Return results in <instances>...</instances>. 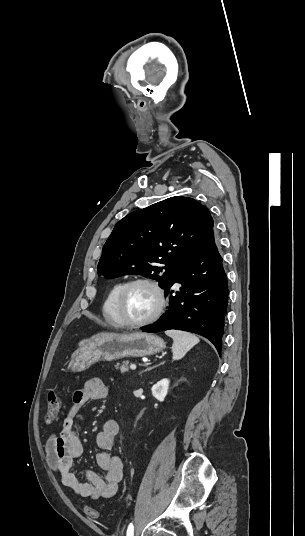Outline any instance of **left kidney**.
Returning <instances> with one entry per match:
<instances>
[{
	"instance_id": "obj_1",
	"label": "left kidney",
	"mask_w": 305,
	"mask_h": 536,
	"mask_svg": "<svg viewBox=\"0 0 305 536\" xmlns=\"http://www.w3.org/2000/svg\"><path fill=\"white\" fill-rule=\"evenodd\" d=\"M169 390V380L167 378H164V380H160V382H157V384H154L151 388V392L156 398V400H159V402H164Z\"/></svg>"
}]
</instances>
